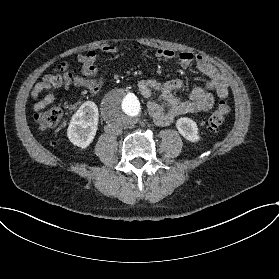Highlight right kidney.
Returning <instances> with one entry per match:
<instances>
[{"label":"right kidney","instance_id":"right-kidney-1","mask_svg":"<svg viewBox=\"0 0 279 279\" xmlns=\"http://www.w3.org/2000/svg\"><path fill=\"white\" fill-rule=\"evenodd\" d=\"M98 124V107L95 102L88 100L71 117L67 128V137L79 149H87L96 136Z\"/></svg>","mask_w":279,"mask_h":279}]
</instances>
